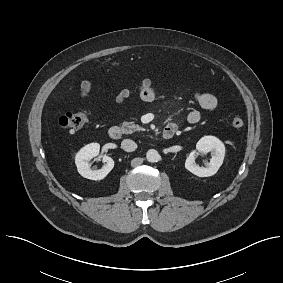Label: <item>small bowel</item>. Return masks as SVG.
<instances>
[{"mask_svg":"<svg viewBox=\"0 0 283 283\" xmlns=\"http://www.w3.org/2000/svg\"><path fill=\"white\" fill-rule=\"evenodd\" d=\"M91 91V83L85 80L81 84L80 95L83 98H88ZM132 95H138L145 102H152L157 99L158 92L153 86L151 80L144 76L142 77L141 83L136 88H125L118 92L115 96V103L122 104L127 98ZM195 102L203 109L213 111L218 106L216 97L206 92H196L193 95ZM201 119V112L197 109L190 111L187 115V122L189 124H197ZM174 124V123H172ZM176 125V124H174Z\"/></svg>","mask_w":283,"mask_h":283,"instance_id":"1","label":"small bowel"}]
</instances>
